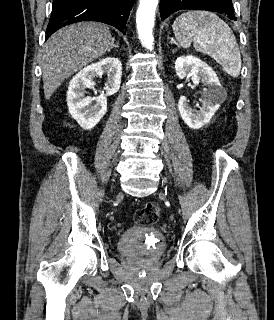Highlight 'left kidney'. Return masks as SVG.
Returning <instances> with one entry per match:
<instances>
[{"mask_svg":"<svg viewBox=\"0 0 274 320\" xmlns=\"http://www.w3.org/2000/svg\"><path fill=\"white\" fill-rule=\"evenodd\" d=\"M175 70L178 78L183 80L186 76H191L193 84L202 82L207 86L202 94V108L192 110L185 96H180L178 110L180 116L192 130H200L205 124H209L219 106L223 104L226 98L225 88L221 86L214 70L199 60L195 56H180L175 62Z\"/></svg>","mask_w":274,"mask_h":320,"instance_id":"1","label":"left kidney"}]
</instances>
